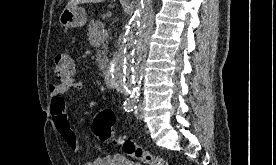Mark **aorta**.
I'll use <instances>...</instances> for the list:
<instances>
[{"label":"aorta","instance_id":"762f6f07","mask_svg":"<svg viewBox=\"0 0 276 165\" xmlns=\"http://www.w3.org/2000/svg\"><path fill=\"white\" fill-rule=\"evenodd\" d=\"M153 29L152 0H140L125 29L118 53L110 63V83L129 94L135 101L145 67L148 37Z\"/></svg>","mask_w":276,"mask_h":165}]
</instances>
